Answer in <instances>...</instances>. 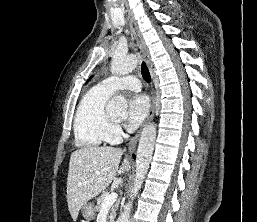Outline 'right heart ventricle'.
<instances>
[{
    "instance_id": "obj_1",
    "label": "right heart ventricle",
    "mask_w": 257,
    "mask_h": 222,
    "mask_svg": "<svg viewBox=\"0 0 257 222\" xmlns=\"http://www.w3.org/2000/svg\"><path fill=\"white\" fill-rule=\"evenodd\" d=\"M110 95L96 86L81 99L74 118V136L77 146L97 148L109 141L111 121L106 112V105Z\"/></svg>"
}]
</instances>
